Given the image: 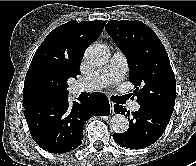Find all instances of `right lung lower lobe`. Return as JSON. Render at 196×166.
Instances as JSON below:
<instances>
[{
    "instance_id": "obj_1",
    "label": "right lung lower lobe",
    "mask_w": 196,
    "mask_h": 166,
    "mask_svg": "<svg viewBox=\"0 0 196 166\" xmlns=\"http://www.w3.org/2000/svg\"><path fill=\"white\" fill-rule=\"evenodd\" d=\"M78 100L69 104L66 96L24 110L31 136L42 149L60 154L77 148L85 121L110 113L108 98L101 93Z\"/></svg>"
}]
</instances>
